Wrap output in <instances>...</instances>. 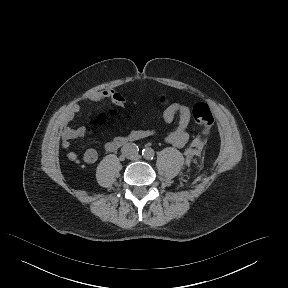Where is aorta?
<instances>
[{
    "label": "aorta",
    "mask_w": 288,
    "mask_h": 288,
    "mask_svg": "<svg viewBox=\"0 0 288 288\" xmlns=\"http://www.w3.org/2000/svg\"><path fill=\"white\" fill-rule=\"evenodd\" d=\"M154 156V150L151 148H147L143 151V157L147 160L153 158Z\"/></svg>",
    "instance_id": "obj_1"
}]
</instances>
